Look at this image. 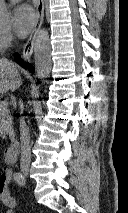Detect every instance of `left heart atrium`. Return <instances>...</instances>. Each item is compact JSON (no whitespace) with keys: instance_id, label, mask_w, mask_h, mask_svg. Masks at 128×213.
<instances>
[{"instance_id":"left-heart-atrium-1","label":"left heart atrium","mask_w":128,"mask_h":213,"mask_svg":"<svg viewBox=\"0 0 128 213\" xmlns=\"http://www.w3.org/2000/svg\"><path fill=\"white\" fill-rule=\"evenodd\" d=\"M35 13L28 5H19L12 12V27L19 38H24L34 26Z\"/></svg>"}]
</instances>
